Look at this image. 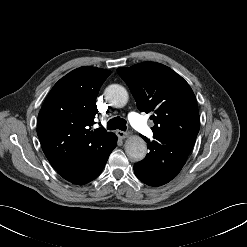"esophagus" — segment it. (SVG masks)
Masks as SVG:
<instances>
[{
  "instance_id": "obj_1",
  "label": "esophagus",
  "mask_w": 247,
  "mask_h": 247,
  "mask_svg": "<svg viewBox=\"0 0 247 247\" xmlns=\"http://www.w3.org/2000/svg\"><path fill=\"white\" fill-rule=\"evenodd\" d=\"M116 134L117 136L120 138V139H124L126 137L129 136V133L128 132H124V131H121V130H117L116 131Z\"/></svg>"
}]
</instances>
